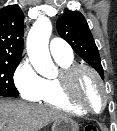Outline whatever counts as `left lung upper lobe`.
<instances>
[{"mask_svg":"<svg viewBox=\"0 0 117 131\" xmlns=\"http://www.w3.org/2000/svg\"><path fill=\"white\" fill-rule=\"evenodd\" d=\"M57 30L73 50L104 78L100 55L84 16L77 11H66L57 20Z\"/></svg>","mask_w":117,"mask_h":131,"instance_id":"1","label":"left lung upper lobe"}]
</instances>
